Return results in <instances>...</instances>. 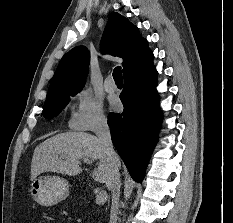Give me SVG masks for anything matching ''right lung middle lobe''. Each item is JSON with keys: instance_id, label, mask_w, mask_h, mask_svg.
I'll list each match as a JSON object with an SVG mask.
<instances>
[{"instance_id": "right-lung-middle-lobe-1", "label": "right lung middle lobe", "mask_w": 233, "mask_h": 223, "mask_svg": "<svg viewBox=\"0 0 233 223\" xmlns=\"http://www.w3.org/2000/svg\"><path fill=\"white\" fill-rule=\"evenodd\" d=\"M75 94L77 93H74L72 95ZM68 100H69V96L63 98L62 100L56 103L44 105L42 115L44 116V118H48V119L57 116L61 112V110L67 105Z\"/></svg>"}]
</instances>
